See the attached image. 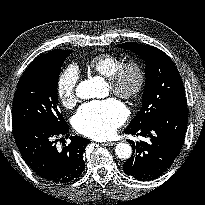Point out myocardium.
Listing matches in <instances>:
<instances>
[{"instance_id": "obj_1", "label": "myocardium", "mask_w": 205, "mask_h": 205, "mask_svg": "<svg viewBox=\"0 0 205 205\" xmlns=\"http://www.w3.org/2000/svg\"><path fill=\"white\" fill-rule=\"evenodd\" d=\"M130 72L135 75L132 86L127 85V77ZM110 89L113 93L125 100L138 98L144 90L146 84V70L142 63L136 60L123 62L114 74L108 78Z\"/></svg>"}]
</instances>
